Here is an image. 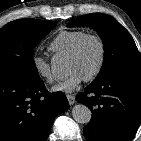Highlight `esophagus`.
I'll return each instance as SVG.
<instances>
[{
	"mask_svg": "<svg viewBox=\"0 0 141 141\" xmlns=\"http://www.w3.org/2000/svg\"><path fill=\"white\" fill-rule=\"evenodd\" d=\"M66 97L70 105H73L76 102V98L74 95L68 94Z\"/></svg>",
	"mask_w": 141,
	"mask_h": 141,
	"instance_id": "1",
	"label": "esophagus"
}]
</instances>
